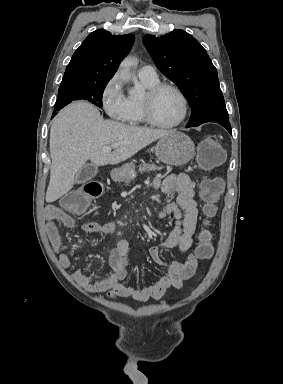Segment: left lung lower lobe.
Segmentation results:
<instances>
[{
	"instance_id": "left-lung-lower-lobe-1",
	"label": "left lung lower lobe",
	"mask_w": 283,
	"mask_h": 384,
	"mask_svg": "<svg viewBox=\"0 0 283 384\" xmlns=\"http://www.w3.org/2000/svg\"><path fill=\"white\" fill-rule=\"evenodd\" d=\"M216 123H219L220 125H222L223 127H225L227 129V131L232 134L231 132V125L228 121H216Z\"/></svg>"
}]
</instances>
